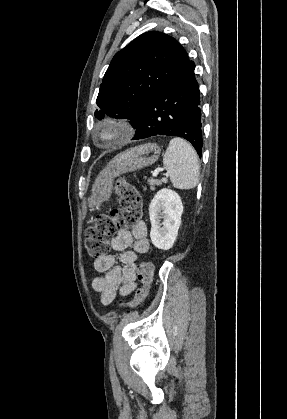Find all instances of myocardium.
I'll return each instance as SVG.
<instances>
[{"label":"myocardium","instance_id":"myocardium-1","mask_svg":"<svg viewBox=\"0 0 287 419\" xmlns=\"http://www.w3.org/2000/svg\"><path fill=\"white\" fill-rule=\"evenodd\" d=\"M133 134L131 124L124 119L108 118L98 124L95 138L103 145H114L130 138Z\"/></svg>","mask_w":287,"mask_h":419}]
</instances>
